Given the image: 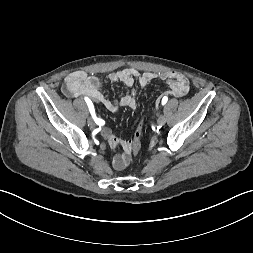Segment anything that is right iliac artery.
<instances>
[{"mask_svg":"<svg viewBox=\"0 0 253 253\" xmlns=\"http://www.w3.org/2000/svg\"><path fill=\"white\" fill-rule=\"evenodd\" d=\"M85 101L89 107V111L91 113V116L93 117L94 121L98 124V125H103L104 124V121L102 119H99L96 117V114H95V109H94V106H93V103L92 101L85 97Z\"/></svg>","mask_w":253,"mask_h":253,"instance_id":"82829eb1","label":"right iliac artery"}]
</instances>
